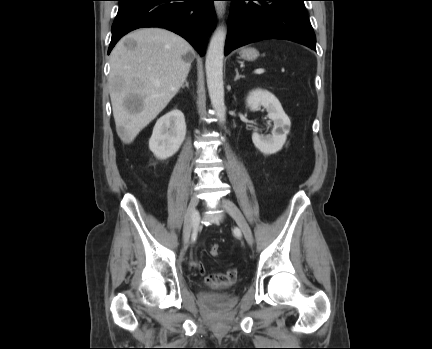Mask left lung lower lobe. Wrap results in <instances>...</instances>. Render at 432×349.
Wrapping results in <instances>:
<instances>
[{"mask_svg":"<svg viewBox=\"0 0 432 349\" xmlns=\"http://www.w3.org/2000/svg\"><path fill=\"white\" fill-rule=\"evenodd\" d=\"M225 55L264 39L291 40L316 50L305 0H230Z\"/></svg>","mask_w":432,"mask_h":349,"instance_id":"obj_1","label":"left lung lower lobe"}]
</instances>
